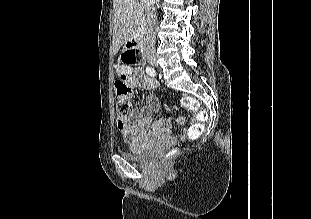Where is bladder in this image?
<instances>
[{"mask_svg":"<svg viewBox=\"0 0 311 219\" xmlns=\"http://www.w3.org/2000/svg\"><path fill=\"white\" fill-rule=\"evenodd\" d=\"M151 152L149 145H142L139 142H134L129 145L127 150L121 152L122 157L128 160L138 161L147 156Z\"/></svg>","mask_w":311,"mask_h":219,"instance_id":"obj_1","label":"bladder"}]
</instances>
